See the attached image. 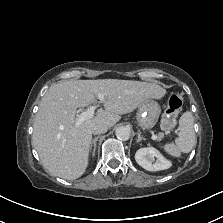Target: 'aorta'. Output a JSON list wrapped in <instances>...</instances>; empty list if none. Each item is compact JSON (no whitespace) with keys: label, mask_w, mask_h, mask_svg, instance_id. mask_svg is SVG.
Instances as JSON below:
<instances>
[{"label":"aorta","mask_w":223,"mask_h":223,"mask_svg":"<svg viewBox=\"0 0 223 223\" xmlns=\"http://www.w3.org/2000/svg\"><path fill=\"white\" fill-rule=\"evenodd\" d=\"M116 137L120 141H127L130 138L131 130L127 126H121L116 129Z\"/></svg>","instance_id":"obj_1"}]
</instances>
